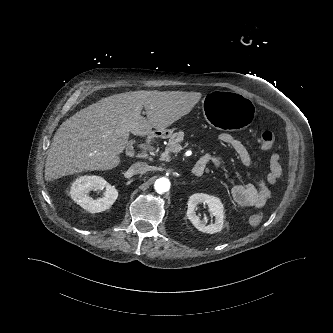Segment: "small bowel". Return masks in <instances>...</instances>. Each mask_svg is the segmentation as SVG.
Listing matches in <instances>:
<instances>
[{"mask_svg": "<svg viewBox=\"0 0 333 333\" xmlns=\"http://www.w3.org/2000/svg\"><path fill=\"white\" fill-rule=\"evenodd\" d=\"M221 143L229 146L237 155L241 164L245 167H250L252 164V157L247 147L232 134L223 132L219 135ZM198 163H201L205 167L212 163L214 166L222 167L220 158L210 153L203 156ZM282 176V168L280 159L277 155H272L269 160V172L266 176L259 175L256 184H235L232 187L231 194L234 200L243 206H252L256 208L263 207L266 202L271 198V190L269 184H275Z\"/></svg>", "mask_w": 333, "mask_h": 333, "instance_id": "obj_1", "label": "small bowel"}]
</instances>
